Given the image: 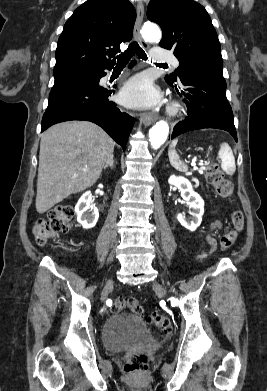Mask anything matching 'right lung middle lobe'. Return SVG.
Returning <instances> with one entry per match:
<instances>
[{
  "instance_id": "1",
  "label": "right lung middle lobe",
  "mask_w": 267,
  "mask_h": 391,
  "mask_svg": "<svg viewBox=\"0 0 267 391\" xmlns=\"http://www.w3.org/2000/svg\"><path fill=\"white\" fill-rule=\"evenodd\" d=\"M89 76V73H79V74H69V75H63L55 77L54 87L75 82L81 79H84Z\"/></svg>"
}]
</instances>
